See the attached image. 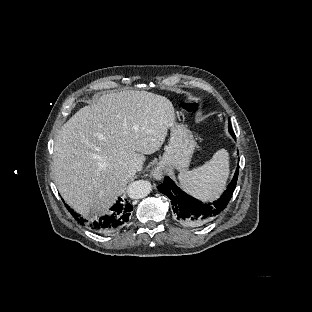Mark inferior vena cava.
<instances>
[{
	"label": "inferior vena cava",
	"mask_w": 312,
	"mask_h": 312,
	"mask_svg": "<svg viewBox=\"0 0 312 312\" xmlns=\"http://www.w3.org/2000/svg\"><path fill=\"white\" fill-rule=\"evenodd\" d=\"M142 165H143V162H142V161H139V160L134 161V162L130 165V167H129V173H130L131 175H135V173H136L137 171H141V170H142Z\"/></svg>",
	"instance_id": "602c4592"
}]
</instances>
